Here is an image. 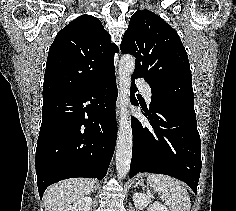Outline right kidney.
Instances as JSON below:
<instances>
[{
  "label": "right kidney",
  "mask_w": 236,
  "mask_h": 211,
  "mask_svg": "<svg viewBox=\"0 0 236 211\" xmlns=\"http://www.w3.org/2000/svg\"><path fill=\"white\" fill-rule=\"evenodd\" d=\"M92 198L89 196L82 197L72 205L68 206L65 211H90Z\"/></svg>",
  "instance_id": "ca27d5eb"
}]
</instances>
